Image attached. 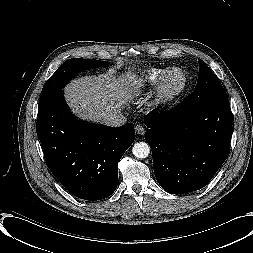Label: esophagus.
<instances>
[{"instance_id": "34e87169", "label": "esophagus", "mask_w": 253, "mask_h": 253, "mask_svg": "<svg viewBox=\"0 0 253 253\" xmlns=\"http://www.w3.org/2000/svg\"><path fill=\"white\" fill-rule=\"evenodd\" d=\"M135 132L138 135H143L145 133V128L142 125L138 124V125L135 126Z\"/></svg>"}]
</instances>
